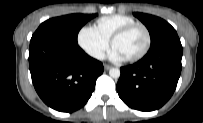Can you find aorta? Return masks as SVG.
<instances>
[{
  "label": "aorta",
  "instance_id": "obj_1",
  "mask_svg": "<svg viewBox=\"0 0 203 123\" xmlns=\"http://www.w3.org/2000/svg\"><path fill=\"white\" fill-rule=\"evenodd\" d=\"M109 75L112 77V78H119L120 77V70L118 68H111L109 70Z\"/></svg>",
  "mask_w": 203,
  "mask_h": 123
}]
</instances>
